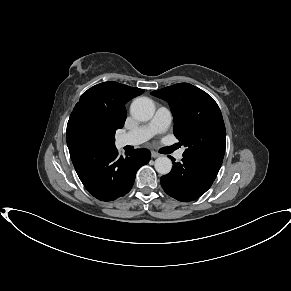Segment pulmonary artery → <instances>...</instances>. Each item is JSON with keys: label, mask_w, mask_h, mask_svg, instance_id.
<instances>
[{"label": "pulmonary artery", "mask_w": 291, "mask_h": 291, "mask_svg": "<svg viewBox=\"0 0 291 291\" xmlns=\"http://www.w3.org/2000/svg\"><path fill=\"white\" fill-rule=\"evenodd\" d=\"M172 121V114L170 110L164 106H160L152 120L147 124L140 126L132 131L120 135L117 138V145L123 147L126 145H138L158 133L165 132L170 126ZM176 158L181 159L183 157V149L176 153Z\"/></svg>", "instance_id": "pulmonary-artery-1"}]
</instances>
